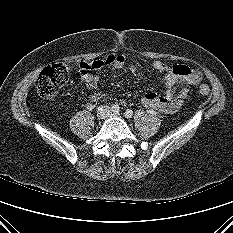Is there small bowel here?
<instances>
[{"mask_svg":"<svg viewBox=\"0 0 233 233\" xmlns=\"http://www.w3.org/2000/svg\"><path fill=\"white\" fill-rule=\"evenodd\" d=\"M127 61V57L121 53H114L101 59L93 60L89 63L83 62L80 65L81 80L86 82L89 89L95 90L98 84V71L104 67H113L117 70H122ZM152 69L160 74H163V82L167 87V92L164 95H159L155 92L147 93L142 99V105L153 112L174 113L183 104L189 91L188 85L196 84L200 81V75H184L176 73L177 67L183 65L168 66L160 61H154L151 64ZM179 84L183 86L175 92V87ZM104 95L99 92L91 94L92 101L102 99Z\"/></svg>","mask_w":233,"mask_h":233,"instance_id":"c3829d8e","label":"small bowel"}]
</instances>
